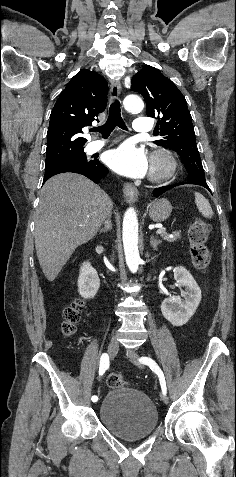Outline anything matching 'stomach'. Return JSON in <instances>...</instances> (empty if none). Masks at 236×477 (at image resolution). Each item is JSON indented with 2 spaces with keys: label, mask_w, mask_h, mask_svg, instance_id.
Returning <instances> with one entry per match:
<instances>
[{
  "label": "stomach",
  "mask_w": 236,
  "mask_h": 477,
  "mask_svg": "<svg viewBox=\"0 0 236 477\" xmlns=\"http://www.w3.org/2000/svg\"><path fill=\"white\" fill-rule=\"evenodd\" d=\"M172 212V206L167 199L161 198L151 203L149 216L154 222L165 221Z\"/></svg>",
  "instance_id": "1"
}]
</instances>
